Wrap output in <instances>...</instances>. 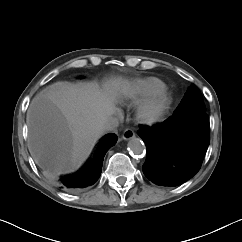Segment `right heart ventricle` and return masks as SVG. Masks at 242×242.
Masks as SVG:
<instances>
[{
    "mask_svg": "<svg viewBox=\"0 0 242 242\" xmlns=\"http://www.w3.org/2000/svg\"><path fill=\"white\" fill-rule=\"evenodd\" d=\"M165 89L162 80L156 77H144L129 82L124 89V98L138 103Z\"/></svg>",
    "mask_w": 242,
    "mask_h": 242,
    "instance_id": "right-heart-ventricle-1",
    "label": "right heart ventricle"
}]
</instances>
